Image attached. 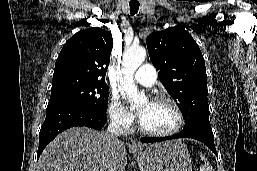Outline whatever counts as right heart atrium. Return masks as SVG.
<instances>
[{"instance_id": "d8ad5b80", "label": "right heart atrium", "mask_w": 257, "mask_h": 171, "mask_svg": "<svg viewBox=\"0 0 257 171\" xmlns=\"http://www.w3.org/2000/svg\"><path fill=\"white\" fill-rule=\"evenodd\" d=\"M108 116L111 122L121 130H129L134 123V116L123 105L120 97L112 95L108 104Z\"/></svg>"}]
</instances>
